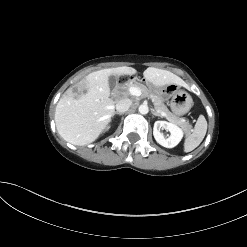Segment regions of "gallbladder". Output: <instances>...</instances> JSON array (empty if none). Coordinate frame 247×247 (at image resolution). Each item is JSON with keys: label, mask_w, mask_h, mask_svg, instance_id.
Listing matches in <instances>:
<instances>
[{"label": "gallbladder", "mask_w": 247, "mask_h": 247, "mask_svg": "<svg viewBox=\"0 0 247 247\" xmlns=\"http://www.w3.org/2000/svg\"><path fill=\"white\" fill-rule=\"evenodd\" d=\"M108 83H109L110 88L114 89L118 84L117 77L115 75H110L108 78Z\"/></svg>", "instance_id": "obj_1"}]
</instances>
